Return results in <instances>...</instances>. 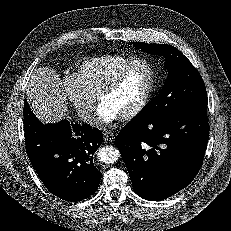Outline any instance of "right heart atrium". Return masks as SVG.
<instances>
[{"mask_svg": "<svg viewBox=\"0 0 231 231\" xmlns=\"http://www.w3.org/2000/svg\"><path fill=\"white\" fill-rule=\"evenodd\" d=\"M59 90L73 105L82 120L89 121L91 119L94 110V101L82 88L74 75L63 76Z\"/></svg>", "mask_w": 231, "mask_h": 231, "instance_id": "d8ad5b80", "label": "right heart atrium"}]
</instances>
